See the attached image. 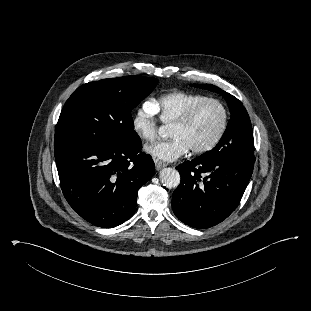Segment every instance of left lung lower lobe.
<instances>
[{"instance_id":"0a47b994","label":"left lung lower lobe","mask_w":311,"mask_h":311,"mask_svg":"<svg viewBox=\"0 0 311 311\" xmlns=\"http://www.w3.org/2000/svg\"><path fill=\"white\" fill-rule=\"evenodd\" d=\"M254 154L199 156L178 165L181 182L172 196L176 217L204 229L226 219L238 206L251 178Z\"/></svg>"}]
</instances>
